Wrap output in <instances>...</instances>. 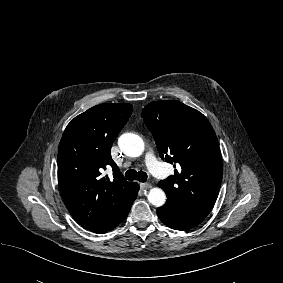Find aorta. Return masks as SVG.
I'll list each match as a JSON object with an SVG mask.
<instances>
[{
    "label": "aorta",
    "mask_w": 283,
    "mask_h": 283,
    "mask_svg": "<svg viewBox=\"0 0 283 283\" xmlns=\"http://www.w3.org/2000/svg\"><path fill=\"white\" fill-rule=\"evenodd\" d=\"M118 145L122 152L129 157H139L144 151V142L139 135L133 133H124L119 137ZM148 201L156 206L160 207L166 202L165 192L159 188H152L148 195Z\"/></svg>",
    "instance_id": "aorta-1"
}]
</instances>
